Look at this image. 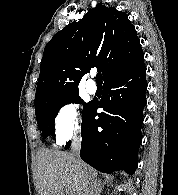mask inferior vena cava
Instances as JSON below:
<instances>
[{
  "instance_id": "602c4592",
  "label": "inferior vena cava",
  "mask_w": 178,
  "mask_h": 195,
  "mask_svg": "<svg viewBox=\"0 0 178 195\" xmlns=\"http://www.w3.org/2000/svg\"><path fill=\"white\" fill-rule=\"evenodd\" d=\"M73 152H74V155L77 159V162L78 164H80L81 160L79 158V151H80V140L79 139H76L75 142L73 143ZM94 195H98V189L95 188L94 192H93Z\"/></svg>"
}]
</instances>
